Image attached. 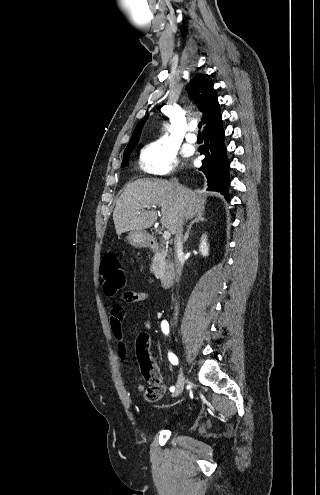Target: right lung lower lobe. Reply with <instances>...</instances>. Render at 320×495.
I'll return each mask as SVG.
<instances>
[{
    "instance_id": "98d812e1",
    "label": "right lung lower lobe",
    "mask_w": 320,
    "mask_h": 495,
    "mask_svg": "<svg viewBox=\"0 0 320 495\" xmlns=\"http://www.w3.org/2000/svg\"><path fill=\"white\" fill-rule=\"evenodd\" d=\"M203 134L205 143L199 148V151L205 157L202 160V166L198 170L202 171L207 179V189L220 192L229 201L230 163L224 145L225 133L222 120L214 126L203 130Z\"/></svg>"
}]
</instances>
